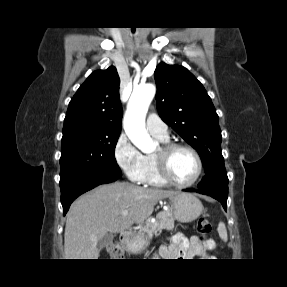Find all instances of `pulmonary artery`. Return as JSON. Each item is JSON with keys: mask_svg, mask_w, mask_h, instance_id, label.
Here are the masks:
<instances>
[{"mask_svg": "<svg viewBox=\"0 0 287 287\" xmlns=\"http://www.w3.org/2000/svg\"><path fill=\"white\" fill-rule=\"evenodd\" d=\"M147 130L156 138L161 140L168 139V127L167 125L158 117L157 114L151 113L146 119Z\"/></svg>", "mask_w": 287, "mask_h": 287, "instance_id": "obj_1", "label": "pulmonary artery"}]
</instances>
